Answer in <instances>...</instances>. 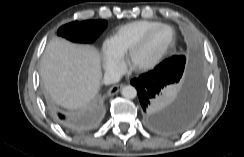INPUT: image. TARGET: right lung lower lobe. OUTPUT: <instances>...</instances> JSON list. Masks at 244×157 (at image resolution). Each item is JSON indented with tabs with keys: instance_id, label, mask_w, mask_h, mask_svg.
I'll list each match as a JSON object with an SVG mask.
<instances>
[{
	"instance_id": "1",
	"label": "right lung lower lobe",
	"mask_w": 244,
	"mask_h": 157,
	"mask_svg": "<svg viewBox=\"0 0 244 157\" xmlns=\"http://www.w3.org/2000/svg\"><path fill=\"white\" fill-rule=\"evenodd\" d=\"M57 119L64 127H66L69 130L78 131L81 129L80 122L75 118H69L62 114H58Z\"/></svg>"
}]
</instances>
